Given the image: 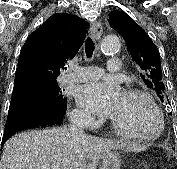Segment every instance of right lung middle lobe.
Segmentation results:
<instances>
[{
	"instance_id": "right-lung-middle-lobe-1",
	"label": "right lung middle lobe",
	"mask_w": 177,
	"mask_h": 169,
	"mask_svg": "<svg viewBox=\"0 0 177 169\" xmlns=\"http://www.w3.org/2000/svg\"><path fill=\"white\" fill-rule=\"evenodd\" d=\"M33 96L41 97L56 106L63 105L65 101L57 82H38L37 86L34 88Z\"/></svg>"
}]
</instances>
